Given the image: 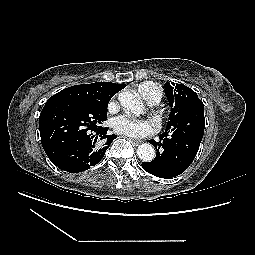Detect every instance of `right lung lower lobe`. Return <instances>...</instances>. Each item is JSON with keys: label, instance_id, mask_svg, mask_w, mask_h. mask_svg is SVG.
Instances as JSON below:
<instances>
[{"label": "right lung lower lobe", "instance_id": "right-lung-lower-lobe-1", "mask_svg": "<svg viewBox=\"0 0 255 255\" xmlns=\"http://www.w3.org/2000/svg\"><path fill=\"white\" fill-rule=\"evenodd\" d=\"M108 128L76 137L64 145L54 146L41 137L42 146L51 162L61 170L78 173L101 161L116 135H108Z\"/></svg>", "mask_w": 255, "mask_h": 255}]
</instances>
